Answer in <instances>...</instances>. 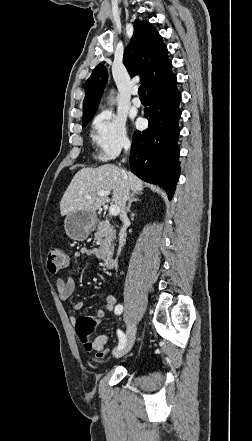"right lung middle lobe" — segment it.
<instances>
[{
  "mask_svg": "<svg viewBox=\"0 0 252 441\" xmlns=\"http://www.w3.org/2000/svg\"><path fill=\"white\" fill-rule=\"evenodd\" d=\"M89 121L83 122L82 127H85Z\"/></svg>",
  "mask_w": 252,
  "mask_h": 441,
  "instance_id": "right-lung-middle-lobe-1",
  "label": "right lung middle lobe"
}]
</instances>
